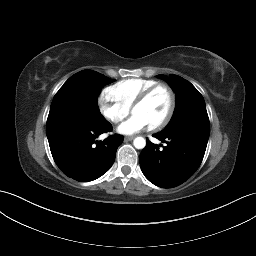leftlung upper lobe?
<instances>
[{
	"mask_svg": "<svg viewBox=\"0 0 256 256\" xmlns=\"http://www.w3.org/2000/svg\"><path fill=\"white\" fill-rule=\"evenodd\" d=\"M176 92V107L169 124L160 133L169 134L191 129L209 135V118L200 92L187 80L177 75H159Z\"/></svg>",
	"mask_w": 256,
	"mask_h": 256,
	"instance_id": "obj_1",
	"label": "left lung upper lobe"
}]
</instances>
